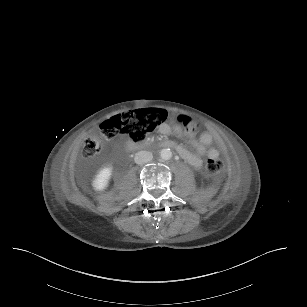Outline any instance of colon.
<instances>
[{
    "instance_id": "colon-1",
    "label": "colon",
    "mask_w": 307,
    "mask_h": 307,
    "mask_svg": "<svg viewBox=\"0 0 307 307\" xmlns=\"http://www.w3.org/2000/svg\"><path fill=\"white\" fill-rule=\"evenodd\" d=\"M162 109H138L122 115H117L105 121L99 128L100 136L87 138L84 141L82 154L85 159L96 156L104 139L118 136L127 137L133 141H142L150 132L158 127L166 118ZM178 124L189 136L198 131V124L187 114L180 113L176 117ZM223 170V161L211 157L206 163V171L210 175H217Z\"/></svg>"
}]
</instances>
